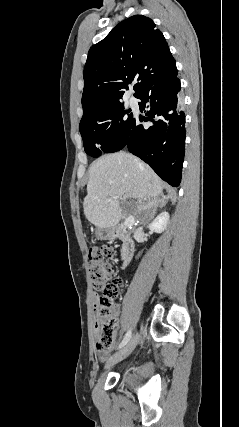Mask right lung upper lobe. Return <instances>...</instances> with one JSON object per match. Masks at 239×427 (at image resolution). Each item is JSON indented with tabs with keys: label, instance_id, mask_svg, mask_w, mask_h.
<instances>
[{
	"label": "right lung upper lobe",
	"instance_id": "1",
	"mask_svg": "<svg viewBox=\"0 0 239 427\" xmlns=\"http://www.w3.org/2000/svg\"><path fill=\"white\" fill-rule=\"evenodd\" d=\"M176 72L175 59L154 22L142 15L129 17L89 50L83 73V115L99 104L120 101L132 81H137V97Z\"/></svg>",
	"mask_w": 239,
	"mask_h": 427
}]
</instances>
